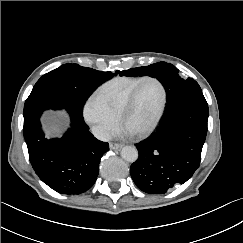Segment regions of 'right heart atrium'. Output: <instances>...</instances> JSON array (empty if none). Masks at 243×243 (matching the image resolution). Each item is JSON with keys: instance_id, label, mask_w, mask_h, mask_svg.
Here are the masks:
<instances>
[{"instance_id": "obj_1", "label": "right heart atrium", "mask_w": 243, "mask_h": 243, "mask_svg": "<svg viewBox=\"0 0 243 243\" xmlns=\"http://www.w3.org/2000/svg\"><path fill=\"white\" fill-rule=\"evenodd\" d=\"M84 117L91 125L94 133L101 139H107L116 131L118 118L109 112L94 95L86 102L84 107Z\"/></svg>"}]
</instances>
